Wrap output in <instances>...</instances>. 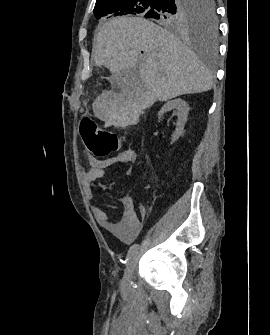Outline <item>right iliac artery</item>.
Masks as SVG:
<instances>
[{
  "label": "right iliac artery",
  "instance_id": "82829eb1",
  "mask_svg": "<svg viewBox=\"0 0 270 335\" xmlns=\"http://www.w3.org/2000/svg\"><path fill=\"white\" fill-rule=\"evenodd\" d=\"M138 249H139L138 244L132 245L127 253L126 260H129L137 252Z\"/></svg>",
  "mask_w": 270,
  "mask_h": 335
}]
</instances>
